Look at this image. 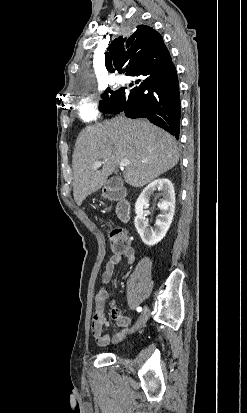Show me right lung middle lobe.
Masks as SVG:
<instances>
[{
  "mask_svg": "<svg viewBox=\"0 0 247 413\" xmlns=\"http://www.w3.org/2000/svg\"><path fill=\"white\" fill-rule=\"evenodd\" d=\"M118 93V91H112L110 88H107L105 93L102 95V98L104 100L100 101L99 108L102 112H105L109 105L111 104L112 100L114 99L115 95Z\"/></svg>",
  "mask_w": 247,
  "mask_h": 413,
  "instance_id": "dd1d6c3e",
  "label": "right lung middle lobe"
}]
</instances>
